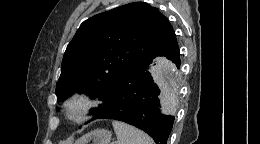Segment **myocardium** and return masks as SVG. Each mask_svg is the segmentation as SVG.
<instances>
[{"instance_id": "obj_1", "label": "myocardium", "mask_w": 260, "mask_h": 144, "mask_svg": "<svg viewBox=\"0 0 260 144\" xmlns=\"http://www.w3.org/2000/svg\"><path fill=\"white\" fill-rule=\"evenodd\" d=\"M78 104L79 110L73 114V105ZM65 117L72 123L80 124L85 122L95 107L94 99L86 92H76L70 95L63 104Z\"/></svg>"}]
</instances>
